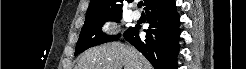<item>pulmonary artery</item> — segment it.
Instances as JSON below:
<instances>
[{"mask_svg": "<svg viewBox=\"0 0 246 69\" xmlns=\"http://www.w3.org/2000/svg\"><path fill=\"white\" fill-rule=\"evenodd\" d=\"M132 17H133L134 19H138V18L140 17V12H139V11H133V12H132Z\"/></svg>", "mask_w": 246, "mask_h": 69, "instance_id": "e3ab8cb5", "label": "pulmonary artery"}]
</instances>
